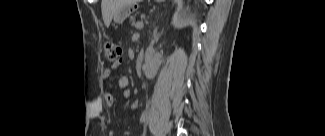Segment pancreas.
Wrapping results in <instances>:
<instances>
[{"instance_id": "cf45deb5", "label": "pancreas", "mask_w": 325, "mask_h": 136, "mask_svg": "<svg viewBox=\"0 0 325 136\" xmlns=\"http://www.w3.org/2000/svg\"><path fill=\"white\" fill-rule=\"evenodd\" d=\"M145 9H136V12H133L131 17L127 19V22L129 24H136L137 19H140V16H145Z\"/></svg>"}]
</instances>
